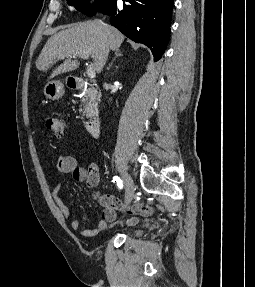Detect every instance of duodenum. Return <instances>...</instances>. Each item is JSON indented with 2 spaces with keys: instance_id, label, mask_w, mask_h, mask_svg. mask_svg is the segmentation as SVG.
<instances>
[{
  "instance_id": "duodenum-1",
  "label": "duodenum",
  "mask_w": 255,
  "mask_h": 287,
  "mask_svg": "<svg viewBox=\"0 0 255 287\" xmlns=\"http://www.w3.org/2000/svg\"><path fill=\"white\" fill-rule=\"evenodd\" d=\"M72 89H81L83 87L92 86L91 83L84 80H73L69 83ZM100 118L98 116H93L87 123V131L92 137H97L100 132Z\"/></svg>"
}]
</instances>
